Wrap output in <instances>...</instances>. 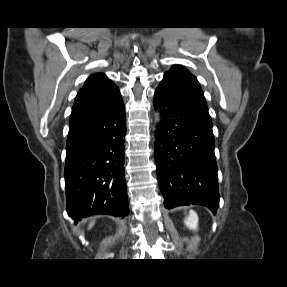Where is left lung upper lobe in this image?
Instances as JSON below:
<instances>
[{
    "mask_svg": "<svg viewBox=\"0 0 287 287\" xmlns=\"http://www.w3.org/2000/svg\"><path fill=\"white\" fill-rule=\"evenodd\" d=\"M159 86L166 88L176 101L200 118L212 123L200 85L187 69L181 66L172 67L165 72Z\"/></svg>",
    "mask_w": 287,
    "mask_h": 287,
    "instance_id": "5c2ea615",
    "label": "left lung upper lobe"
}]
</instances>
